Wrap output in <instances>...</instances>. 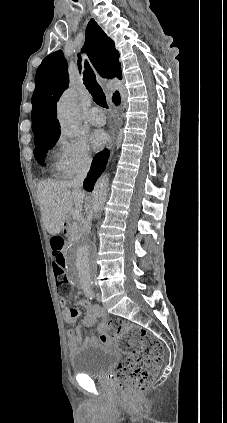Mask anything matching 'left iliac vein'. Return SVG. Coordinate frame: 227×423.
I'll use <instances>...</instances> for the list:
<instances>
[{"label": "left iliac vein", "mask_w": 227, "mask_h": 423, "mask_svg": "<svg viewBox=\"0 0 227 423\" xmlns=\"http://www.w3.org/2000/svg\"><path fill=\"white\" fill-rule=\"evenodd\" d=\"M96 299H97L98 301H101V300H102V296H101V293H100V292H97V293H96Z\"/></svg>", "instance_id": "1"}]
</instances>
